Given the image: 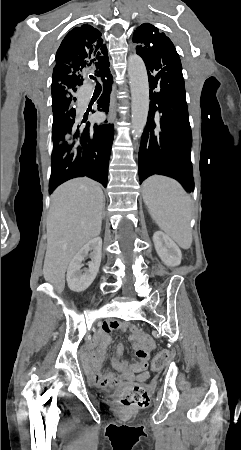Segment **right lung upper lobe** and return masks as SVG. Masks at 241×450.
Returning <instances> with one entry per match:
<instances>
[{
    "instance_id": "obj_1",
    "label": "right lung upper lobe",
    "mask_w": 241,
    "mask_h": 450,
    "mask_svg": "<svg viewBox=\"0 0 241 450\" xmlns=\"http://www.w3.org/2000/svg\"><path fill=\"white\" fill-rule=\"evenodd\" d=\"M51 85L52 102L72 96L78 79L109 64L101 32L88 24L71 30L57 50Z\"/></svg>"
}]
</instances>
